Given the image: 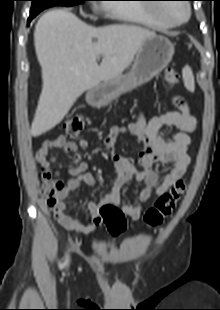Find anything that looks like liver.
Listing matches in <instances>:
<instances>
[{"label": "liver", "instance_id": "6515ba94", "mask_svg": "<svg viewBox=\"0 0 220 310\" xmlns=\"http://www.w3.org/2000/svg\"><path fill=\"white\" fill-rule=\"evenodd\" d=\"M155 35L134 25L96 28L62 9L42 15L34 43L43 86L30 134L37 137L51 130L85 91L122 75L143 42Z\"/></svg>", "mask_w": 220, "mask_h": 310}]
</instances>
